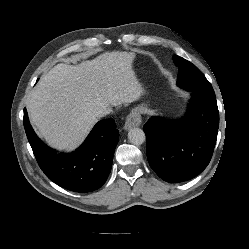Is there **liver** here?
I'll list each match as a JSON object with an SVG mask.
<instances>
[{
	"instance_id": "1",
	"label": "liver",
	"mask_w": 249,
	"mask_h": 249,
	"mask_svg": "<svg viewBox=\"0 0 249 249\" xmlns=\"http://www.w3.org/2000/svg\"><path fill=\"white\" fill-rule=\"evenodd\" d=\"M131 52H106L79 65L57 64L27 99L31 123L59 150L78 147L104 107L138 100L144 94Z\"/></svg>"
}]
</instances>
